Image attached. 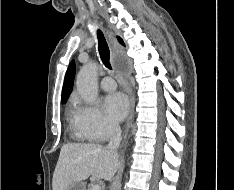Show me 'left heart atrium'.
Wrapping results in <instances>:
<instances>
[{"label": "left heart atrium", "mask_w": 234, "mask_h": 190, "mask_svg": "<svg viewBox=\"0 0 234 190\" xmlns=\"http://www.w3.org/2000/svg\"><path fill=\"white\" fill-rule=\"evenodd\" d=\"M105 110L107 115L114 121H121L129 110V100L121 92H114L105 99Z\"/></svg>", "instance_id": "1"}]
</instances>
